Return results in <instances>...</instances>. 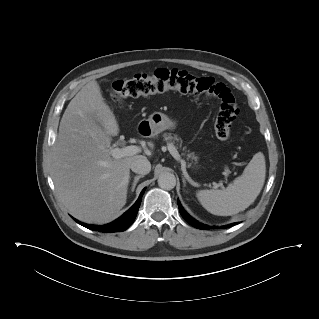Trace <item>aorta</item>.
<instances>
[{"label": "aorta", "instance_id": "762f6f07", "mask_svg": "<svg viewBox=\"0 0 319 319\" xmlns=\"http://www.w3.org/2000/svg\"><path fill=\"white\" fill-rule=\"evenodd\" d=\"M158 185L165 190H171L176 186L175 175L169 172L160 174L158 178Z\"/></svg>", "mask_w": 319, "mask_h": 319}]
</instances>
